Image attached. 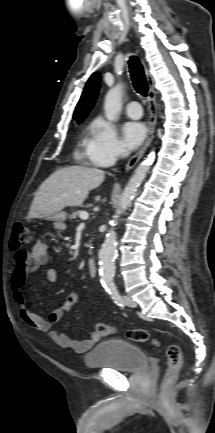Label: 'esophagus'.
<instances>
[{"label": "esophagus", "mask_w": 215, "mask_h": 433, "mask_svg": "<svg viewBox=\"0 0 215 433\" xmlns=\"http://www.w3.org/2000/svg\"><path fill=\"white\" fill-rule=\"evenodd\" d=\"M144 67H145V76L149 86L148 98H149V106H150V118H149V125H148V134L141 149L136 154H134L126 164V168H125L126 171L131 170L138 163V161L141 159V157L143 156V154L151 144L154 137L155 127L157 122L155 83H154L153 76L151 75L145 63H144Z\"/></svg>", "instance_id": "34e87169"}]
</instances>
